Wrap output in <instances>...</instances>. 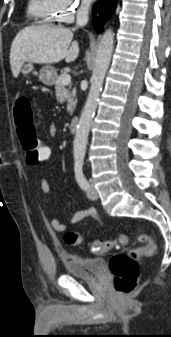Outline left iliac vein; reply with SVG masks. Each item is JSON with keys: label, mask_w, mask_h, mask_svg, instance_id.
Here are the masks:
<instances>
[{"label": "left iliac vein", "mask_w": 171, "mask_h": 337, "mask_svg": "<svg viewBox=\"0 0 171 337\" xmlns=\"http://www.w3.org/2000/svg\"><path fill=\"white\" fill-rule=\"evenodd\" d=\"M87 197L91 200H96L98 198V192L93 184H90L88 187Z\"/></svg>", "instance_id": "4c4485c4"}]
</instances>
